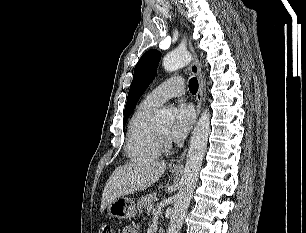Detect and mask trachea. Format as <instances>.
Here are the masks:
<instances>
[{
	"label": "trachea",
	"mask_w": 306,
	"mask_h": 233,
	"mask_svg": "<svg viewBox=\"0 0 306 233\" xmlns=\"http://www.w3.org/2000/svg\"><path fill=\"white\" fill-rule=\"evenodd\" d=\"M189 90L195 94L198 91V80L197 78H191L189 81Z\"/></svg>",
	"instance_id": "obj_1"
}]
</instances>
